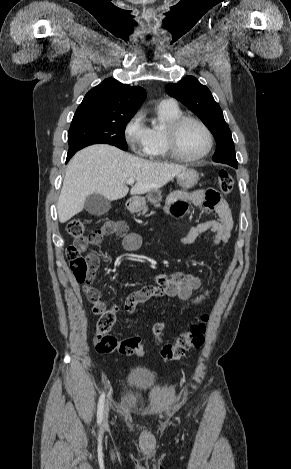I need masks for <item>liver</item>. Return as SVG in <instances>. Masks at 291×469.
Segmentation results:
<instances>
[{
  "instance_id": "1",
  "label": "liver",
  "mask_w": 291,
  "mask_h": 469,
  "mask_svg": "<svg viewBox=\"0 0 291 469\" xmlns=\"http://www.w3.org/2000/svg\"><path fill=\"white\" fill-rule=\"evenodd\" d=\"M186 169L184 165L151 162L107 144L88 146L67 166L57 206L59 222L65 223L81 212L91 194L110 201L121 199L129 191V179L136 181L130 194H144L161 188Z\"/></svg>"
}]
</instances>
